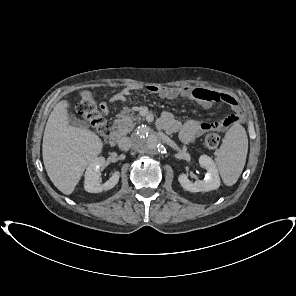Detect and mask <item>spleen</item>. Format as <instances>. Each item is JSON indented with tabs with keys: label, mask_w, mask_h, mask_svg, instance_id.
<instances>
[{
	"label": "spleen",
	"mask_w": 296,
	"mask_h": 296,
	"mask_svg": "<svg viewBox=\"0 0 296 296\" xmlns=\"http://www.w3.org/2000/svg\"><path fill=\"white\" fill-rule=\"evenodd\" d=\"M248 138L240 124H234L226 132L223 143L215 152V161L225 185H234L246 163Z\"/></svg>",
	"instance_id": "obj_1"
}]
</instances>
